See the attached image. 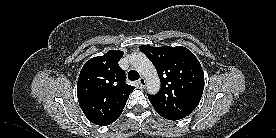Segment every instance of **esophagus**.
I'll return each mask as SVG.
<instances>
[{
  "label": "esophagus",
  "mask_w": 276,
  "mask_h": 138,
  "mask_svg": "<svg viewBox=\"0 0 276 138\" xmlns=\"http://www.w3.org/2000/svg\"><path fill=\"white\" fill-rule=\"evenodd\" d=\"M139 85L144 88L146 86V80L144 77H141L138 81Z\"/></svg>",
  "instance_id": "1"
}]
</instances>
